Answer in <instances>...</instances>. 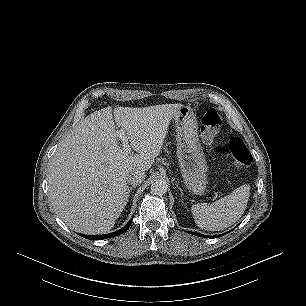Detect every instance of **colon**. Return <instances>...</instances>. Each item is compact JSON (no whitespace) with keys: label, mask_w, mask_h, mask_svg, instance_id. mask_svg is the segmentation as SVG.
Segmentation results:
<instances>
[{"label":"colon","mask_w":306,"mask_h":306,"mask_svg":"<svg viewBox=\"0 0 306 306\" xmlns=\"http://www.w3.org/2000/svg\"><path fill=\"white\" fill-rule=\"evenodd\" d=\"M221 127L222 118L219 112L214 108L208 109L202 117L201 126V139L206 146L212 147ZM218 152L225 158L233 159L241 167L248 166L252 161L250 150L239 137L231 138L227 146L218 148Z\"/></svg>","instance_id":"obj_1"}]
</instances>
